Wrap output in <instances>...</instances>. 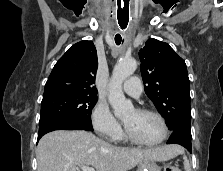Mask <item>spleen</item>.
<instances>
[{
  "label": "spleen",
  "instance_id": "spleen-1",
  "mask_svg": "<svg viewBox=\"0 0 223 171\" xmlns=\"http://www.w3.org/2000/svg\"><path fill=\"white\" fill-rule=\"evenodd\" d=\"M178 153L180 154H184V150L182 148H178ZM183 159H184V169L185 171H191V165L189 163V160L187 159V157L185 155H183Z\"/></svg>",
  "mask_w": 223,
  "mask_h": 171
}]
</instances>
